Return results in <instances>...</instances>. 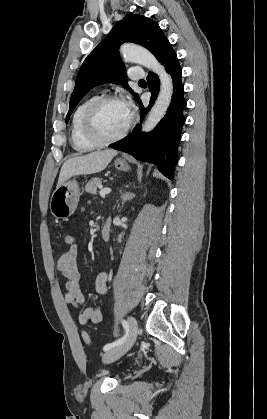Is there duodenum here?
I'll list each match as a JSON object with an SVG mask.
<instances>
[{
	"label": "duodenum",
	"instance_id": "duodenum-1",
	"mask_svg": "<svg viewBox=\"0 0 267 419\" xmlns=\"http://www.w3.org/2000/svg\"><path fill=\"white\" fill-rule=\"evenodd\" d=\"M111 234V221L107 220L101 227L100 237L103 241H108Z\"/></svg>",
	"mask_w": 267,
	"mask_h": 419
}]
</instances>
